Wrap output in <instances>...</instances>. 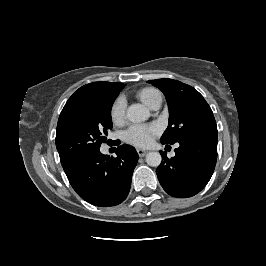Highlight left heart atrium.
<instances>
[{
    "instance_id": "1",
    "label": "left heart atrium",
    "mask_w": 266,
    "mask_h": 266,
    "mask_svg": "<svg viewBox=\"0 0 266 266\" xmlns=\"http://www.w3.org/2000/svg\"><path fill=\"white\" fill-rule=\"evenodd\" d=\"M155 124L131 126L124 134L125 141L136 147H147L152 143L153 137L158 133Z\"/></svg>"
}]
</instances>
